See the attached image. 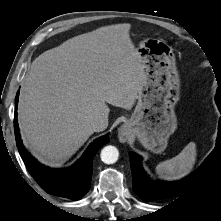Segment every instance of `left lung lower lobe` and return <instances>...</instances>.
I'll use <instances>...</instances> for the list:
<instances>
[{
    "label": "left lung lower lobe",
    "instance_id": "1",
    "mask_svg": "<svg viewBox=\"0 0 221 221\" xmlns=\"http://www.w3.org/2000/svg\"><path fill=\"white\" fill-rule=\"evenodd\" d=\"M216 103L221 112V96L216 97ZM219 141H221V117L216 143ZM210 156L195 173L184 179L174 182H155L150 180L145 174L141 166V157L130 152L129 159L132 169L133 189L141 199L149 202L169 197H177L185 193L200 179L208 165Z\"/></svg>",
    "mask_w": 221,
    "mask_h": 221
}]
</instances>
